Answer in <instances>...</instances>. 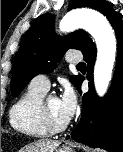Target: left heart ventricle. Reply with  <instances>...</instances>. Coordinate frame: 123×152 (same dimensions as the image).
Masks as SVG:
<instances>
[{"label": "left heart ventricle", "instance_id": "b2bd125f", "mask_svg": "<svg viewBox=\"0 0 123 152\" xmlns=\"http://www.w3.org/2000/svg\"><path fill=\"white\" fill-rule=\"evenodd\" d=\"M47 108L54 122L58 124L66 122L65 118L63 117L60 101L58 98L56 97L50 98L47 102Z\"/></svg>", "mask_w": 123, "mask_h": 152}]
</instances>
